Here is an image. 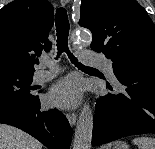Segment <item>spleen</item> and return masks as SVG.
I'll list each match as a JSON object with an SVG mask.
<instances>
[{"mask_svg":"<svg viewBox=\"0 0 155 149\" xmlns=\"http://www.w3.org/2000/svg\"><path fill=\"white\" fill-rule=\"evenodd\" d=\"M132 142L138 149H155V138L141 136L134 138Z\"/></svg>","mask_w":155,"mask_h":149,"instance_id":"1","label":"spleen"}]
</instances>
